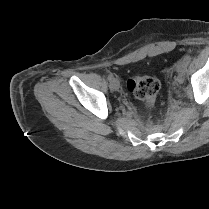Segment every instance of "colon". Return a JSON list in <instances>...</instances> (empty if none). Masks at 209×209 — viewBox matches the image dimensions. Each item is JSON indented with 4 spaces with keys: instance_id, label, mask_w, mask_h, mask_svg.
<instances>
[{
    "instance_id": "obj_1",
    "label": "colon",
    "mask_w": 209,
    "mask_h": 209,
    "mask_svg": "<svg viewBox=\"0 0 209 209\" xmlns=\"http://www.w3.org/2000/svg\"><path fill=\"white\" fill-rule=\"evenodd\" d=\"M127 86L146 106L152 107L155 104L160 89L158 79L150 76H135L128 80Z\"/></svg>"
}]
</instances>
